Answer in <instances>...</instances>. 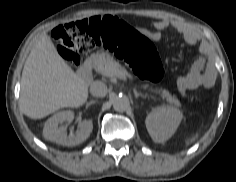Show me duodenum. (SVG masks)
I'll return each mask as SVG.
<instances>
[{"instance_id": "410a0bca", "label": "duodenum", "mask_w": 236, "mask_h": 182, "mask_svg": "<svg viewBox=\"0 0 236 182\" xmlns=\"http://www.w3.org/2000/svg\"><path fill=\"white\" fill-rule=\"evenodd\" d=\"M80 77L85 81V82H90L92 79V73L90 69V59L87 58L85 61V64L80 68L79 70Z\"/></svg>"}]
</instances>
